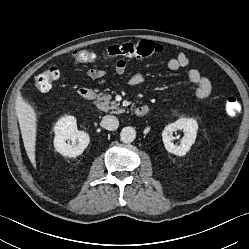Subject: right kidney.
<instances>
[{"mask_svg": "<svg viewBox=\"0 0 249 249\" xmlns=\"http://www.w3.org/2000/svg\"><path fill=\"white\" fill-rule=\"evenodd\" d=\"M55 149L64 156L77 157L82 154L89 144V135L77 130L76 119L65 116L54 126Z\"/></svg>", "mask_w": 249, "mask_h": 249, "instance_id": "obj_1", "label": "right kidney"}]
</instances>
